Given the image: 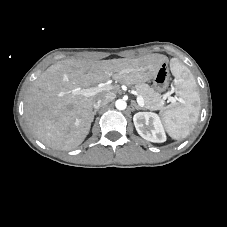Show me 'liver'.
<instances>
[{
  "mask_svg": "<svg viewBox=\"0 0 227 227\" xmlns=\"http://www.w3.org/2000/svg\"><path fill=\"white\" fill-rule=\"evenodd\" d=\"M167 61L161 54L135 59H65L47 68L27 89L24 116L33 135L55 150L77 148L86 138L94 119L93 104L108 92L94 96L83 89L114 80L132 85L150 81Z\"/></svg>",
  "mask_w": 227,
  "mask_h": 227,
  "instance_id": "1",
  "label": "liver"
}]
</instances>
